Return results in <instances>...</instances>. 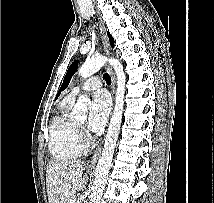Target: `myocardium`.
<instances>
[{
  "mask_svg": "<svg viewBox=\"0 0 214 203\" xmlns=\"http://www.w3.org/2000/svg\"><path fill=\"white\" fill-rule=\"evenodd\" d=\"M80 145L82 148H88L91 146V142L87 138L80 137Z\"/></svg>",
  "mask_w": 214,
  "mask_h": 203,
  "instance_id": "myocardium-1",
  "label": "myocardium"
}]
</instances>
